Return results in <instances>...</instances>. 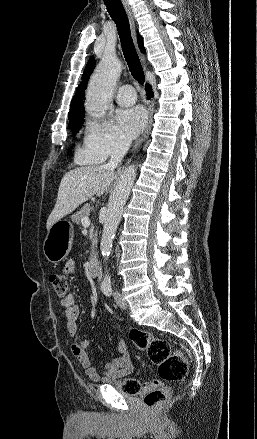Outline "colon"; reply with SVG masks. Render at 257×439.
<instances>
[{"mask_svg": "<svg viewBox=\"0 0 257 439\" xmlns=\"http://www.w3.org/2000/svg\"><path fill=\"white\" fill-rule=\"evenodd\" d=\"M54 292L61 298L68 296L67 279L62 274L50 276ZM130 339L134 346L145 353L152 364L157 367L159 379L140 382L134 378H125L119 382V388L127 394L145 393L144 404L149 408H157L169 400L170 393L163 382L183 379L188 371V362L184 353L172 348L170 343L158 338L143 329H132Z\"/></svg>", "mask_w": 257, "mask_h": 439, "instance_id": "1", "label": "colon"}]
</instances>
